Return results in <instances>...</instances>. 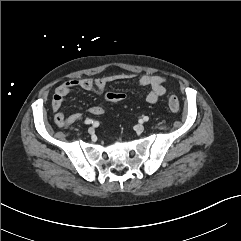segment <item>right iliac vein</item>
<instances>
[{
    "instance_id": "63e3f726",
    "label": "right iliac vein",
    "mask_w": 241,
    "mask_h": 241,
    "mask_svg": "<svg viewBox=\"0 0 241 241\" xmlns=\"http://www.w3.org/2000/svg\"><path fill=\"white\" fill-rule=\"evenodd\" d=\"M88 132H89L90 134H93V133H94V128H93V127H90V128L88 129Z\"/></svg>"
}]
</instances>
